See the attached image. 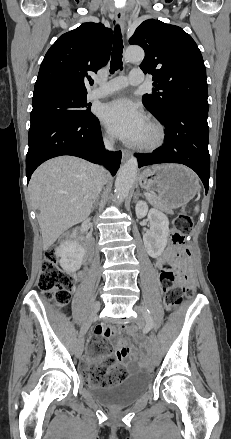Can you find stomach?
<instances>
[{"mask_svg":"<svg viewBox=\"0 0 231 439\" xmlns=\"http://www.w3.org/2000/svg\"><path fill=\"white\" fill-rule=\"evenodd\" d=\"M139 183L141 187L158 194L164 210L185 205L200 188L197 175L191 169L177 164L146 168L139 176Z\"/></svg>","mask_w":231,"mask_h":439,"instance_id":"0dacf381","label":"stomach"}]
</instances>
